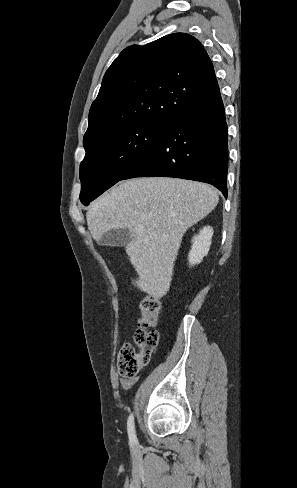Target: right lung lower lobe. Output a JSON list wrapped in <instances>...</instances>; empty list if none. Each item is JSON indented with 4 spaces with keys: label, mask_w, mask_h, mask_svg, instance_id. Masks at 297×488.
Wrapping results in <instances>:
<instances>
[{
    "label": "right lung lower lobe",
    "mask_w": 297,
    "mask_h": 488,
    "mask_svg": "<svg viewBox=\"0 0 297 488\" xmlns=\"http://www.w3.org/2000/svg\"><path fill=\"white\" fill-rule=\"evenodd\" d=\"M228 129L221 95L182 114L121 179L164 176L212 184L227 198Z\"/></svg>",
    "instance_id": "obj_1"
}]
</instances>
